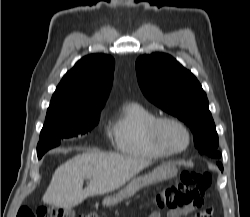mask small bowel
Masks as SVG:
<instances>
[{
  "label": "small bowel",
  "mask_w": 250,
  "mask_h": 217,
  "mask_svg": "<svg viewBox=\"0 0 250 217\" xmlns=\"http://www.w3.org/2000/svg\"><path fill=\"white\" fill-rule=\"evenodd\" d=\"M199 208L196 207H187L184 210H173L169 213L168 217H182L185 214H192L195 213ZM149 217H161V213L159 211L152 212ZM195 217H210L208 212L197 213Z\"/></svg>",
  "instance_id": "c3829d8e"
}]
</instances>
